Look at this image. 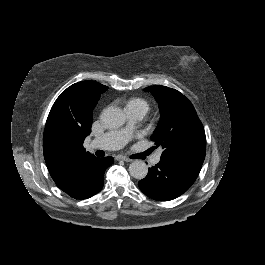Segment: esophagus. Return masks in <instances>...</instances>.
<instances>
[{
	"mask_svg": "<svg viewBox=\"0 0 265 265\" xmlns=\"http://www.w3.org/2000/svg\"><path fill=\"white\" fill-rule=\"evenodd\" d=\"M115 159L118 160V161H126V162H130L131 161L130 158H127L126 156H123V155H117Z\"/></svg>",
	"mask_w": 265,
	"mask_h": 265,
	"instance_id": "esophagus-1",
	"label": "esophagus"
}]
</instances>
